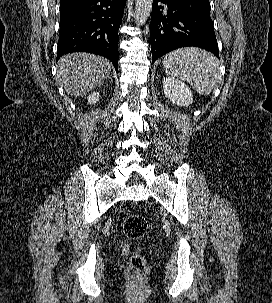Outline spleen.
<instances>
[{
  "label": "spleen",
  "mask_w": 272,
  "mask_h": 303,
  "mask_svg": "<svg viewBox=\"0 0 272 303\" xmlns=\"http://www.w3.org/2000/svg\"><path fill=\"white\" fill-rule=\"evenodd\" d=\"M163 69L168 75L190 83L200 95H209L220 80V64L211 53L194 47L165 55Z\"/></svg>",
  "instance_id": "spleen-1"
}]
</instances>
